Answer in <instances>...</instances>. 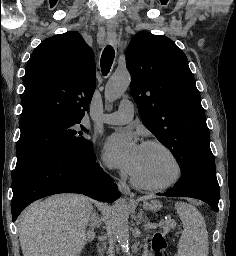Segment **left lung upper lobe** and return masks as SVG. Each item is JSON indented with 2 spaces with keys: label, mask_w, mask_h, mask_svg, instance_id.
Instances as JSON below:
<instances>
[{
  "label": "left lung upper lobe",
  "mask_w": 236,
  "mask_h": 256,
  "mask_svg": "<svg viewBox=\"0 0 236 256\" xmlns=\"http://www.w3.org/2000/svg\"><path fill=\"white\" fill-rule=\"evenodd\" d=\"M126 67L145 126L173 153L182 174L216 172L205 112L184 52L165 36L141 31L127 48Z\"/></svg>",
  "instance_id": "5c2ea615"
}]
</instances>
